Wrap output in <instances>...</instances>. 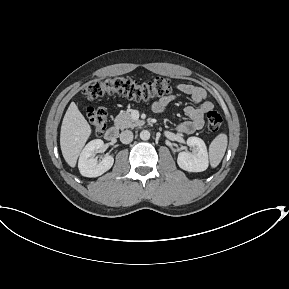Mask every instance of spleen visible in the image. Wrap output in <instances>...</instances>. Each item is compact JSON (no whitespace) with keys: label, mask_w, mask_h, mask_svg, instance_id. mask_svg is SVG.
I'll return each mask as SVG.
<instances>
[{"label":"spleen","mask_w":289,"mask_h":289,"mask_svg":"<svg viewBox=\"0 0 289 289\" xmlns=\"http://www.w3.org/2000/svg\"><path fill=\"white\" fill-rule=\"evenodd\" d=\"M228 138L225 133L217 135L209 146V160L212 168L219 165L227 148Z\"/></svg>","instance_id":"1"}]
</instances>
